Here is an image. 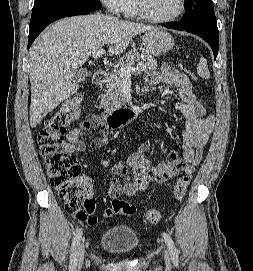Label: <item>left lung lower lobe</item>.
<instances>
[{
    "label": "left lung lower lobe",
    "instance_id": "left-lung-lower-lobe-1",
    "mask_svg": "<svg viewBox=\"0 0 253 271\" xmlns=\"http://www.w3.org/2000/svg\"><path fill=\"white\" fill-rule=\"evenodd\" d=\"M167 28L180 30V31H187L192 34H196L199 37L203 38L212 48L214 58L217 57L218 53V43H219V31L217 28V21L216 18H208L203 21L195 22L191 25H183L180 24H172L167 25Z\"/></svg>",
    "mask_w": 253,
    "mask_h": 271
}]
</instances>
